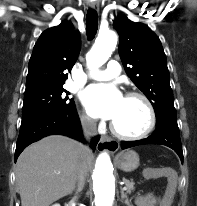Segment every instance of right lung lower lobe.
I'll return each instance as SVG.
<instances>
[{"label":"right lung lower lobe","instance_id":"1","mask_svg":"<svg viewBox=\"0 0 197 206\" xmlns=\"http://www.w3.org/2000/svg\"><path fill=\"white\" fill-rule=\"evenodd\" d=\"M51 134H62L84 142L76 108L62 113L43 115L22 122L16 143L15 161L28 145ZM99 139V136L93 138L90 145L93 150L96 148Z\"/></svg>","mask_w":197,"mask_h":206}]
</instances>
